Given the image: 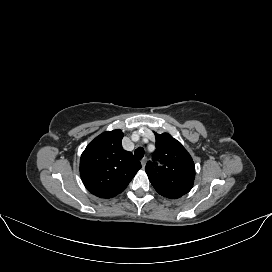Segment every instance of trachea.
I'll list each match as a JSON object with an SVG mask.
<instances>
[{
    "instance_id": "trachea-1",
    "label": "trachea",
    "mask_w": 272,
    "mask_h": 272,
    "mask_svg": "<svg viewBox=\"0 0 272 272\" xmlns=\"http://www.w3.org/2000/svg\"><path fill=\"white\" fill-rule=\"evenodd\" d=\"M134 156L137 159H142L144 157V149L141 147L137 148L134 152Z\"/></svg>"
}]
</instances>
